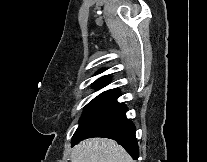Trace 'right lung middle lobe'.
<instances>
[{
    "instance_id": "obj_1",
    "label": "right lung middle lobe",
    "mask_w": 207,
    "mask_h": 162,
    "mask_svg": "<svg viewBox=\"0 0 207 162\" xmlns=\"http://www.w3.org/2000/svg\"><path fill=\"white\" fill-rule=\"evenodd\" d=\"M115 90H108L97 97H95L85 108L84 113L80 119L79 127L82 125V123L97 109V107L106 100ZM78 127V128H79ZM77 131V130H76Z\"/></svg>"
}]
</instances>
